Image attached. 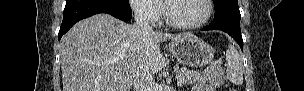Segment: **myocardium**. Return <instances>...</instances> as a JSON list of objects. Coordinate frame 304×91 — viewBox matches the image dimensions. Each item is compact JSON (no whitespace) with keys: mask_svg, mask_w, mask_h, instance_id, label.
<instances>
[{"mask_svg":"<svg viewBox=\"0 0 304 91\" xmlns=\"http://www.w3.org/2000/svg\"><path fill=\"white\" fill-rule=\"evenodd\" d=\"M173 1H177V0L162 1V6H163L164 17H165L166 23L170 27L175 28V29L190 30V29L199 28V27L203 26L210 19L212 12H213V5H212L213 1L203 0L204 4L206 6V13H205L204 17L195 23H190V24L181 23V22L175 21L170 15L169 3L173 2Z\"/></svg>","mask_w":304,"mask_h":91,"instance_id":"obj_1","label":"myocardium"}]
</instances>
